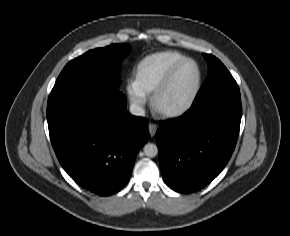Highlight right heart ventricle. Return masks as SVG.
<instances>
[{"label": "right heart ventricle", "mask_w": 290, "mask_h": 236, "mask_svg": "<svg viewBox=\"0 0 290 236\" xmlns=\"http://www.w3.org/2000/svg\"><path fill=\"white\" fill-rule=\"evenodd\" d=\"M183 58L185 57L182 54L175 51L150 55L138 65L134 81L149 94L163 82L170 69Z\"/></svg>", "instance_id": "e07e8e85"}]
</instances>
